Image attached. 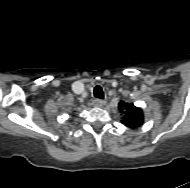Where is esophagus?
<instances>
[{"label":"esophagus","mask_w":190,"mask_h":188,"mask_svg":"<svg viewBox=\"0 0 190 188\" xmlns=\"http://www.w3.org/2000/svg\"><path fill=\"white\" fill-rule=\"evenodd\" d=\"M104 104H105L104 100H101V99H95V100H93V105L95 107H103Z\"/></svg>","instance_id":"34e87169"}]
</instances>
